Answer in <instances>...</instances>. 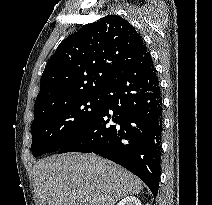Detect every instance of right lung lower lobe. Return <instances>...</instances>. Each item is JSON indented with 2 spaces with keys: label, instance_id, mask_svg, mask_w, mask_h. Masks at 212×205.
<instances>
[{
  "label": "right lung lower lobe",
  "instance_id": "98d812e1",
  "mask_svg": "<svg viewBox=\"0 0 212 205\" xmlns=\"http://www.w3.org/2000/svg\"><path fill=\"white\" fill-rule=\"evenodd\" d=\"M99 112L57 152L95 153L138 176L156 197L160 179L162 96L149 52L102 91Z\"/></svg>",
  "mask_w": 212,
  "mask_h": 205
}]
</instances>
